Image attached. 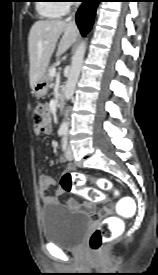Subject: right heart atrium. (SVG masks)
<instances>
[{
	"instance_id": "right-heart-atrium-1",
	"label": "right heart atrium",
	"mask_w": 158,
	"mask_h": 275,
	"mask_svg": "<svg viewBox=\"0 0 158 275\" xmlns=\"http://www.w3.org/2000/svg\"><path fill=\"white\" fill-rule=\"evenodd\" d=\"M59 2H62L59 3V5L63 8V11L67 12L72 2H74V0H60Z\"/></svg>"
}]
</instances>
